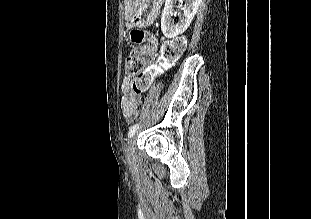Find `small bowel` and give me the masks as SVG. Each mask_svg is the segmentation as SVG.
Listing matches in <instances>:
<instances>
[{
  "label": "small bowel",
  "mask_w": 311,
  "mask_h": 219,
  "mask_svg": "<svg viewBox=\"0 0 311 219\" xmlns=\"http://www.w3.org/2000/svg\"><path fill=\"white\" fill-rule=\"evenodd\" d=\"M122 93L123 95L120 103L121 110L124 117L131 120L138 112L140 96L131 91L129 77H125L122 81Z\"/></svg>",
  "instance_id": "1"
}]
</instances>
